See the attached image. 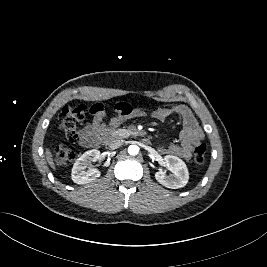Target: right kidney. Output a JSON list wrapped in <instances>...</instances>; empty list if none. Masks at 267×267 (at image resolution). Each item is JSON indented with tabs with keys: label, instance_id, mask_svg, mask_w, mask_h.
I'll use <instances>...</instances> for the list:
<instances>
[{
	"label": "right kidney",
	"instance_id": "1",
	"mask_svg": "<svg viewBox=\"0 0 267 267\" xmlns=\"http://www.w3.org/2000/svg\"><path fill=\"white\" fill-rule=\"evenodd\" d=\"M99 150L86 151L74 163L71 177L76 184H87L100 177L101 173L96 168H91L90 164L100 160Z\"/></svg>",
	"mask_w": 267,
	"mask_h": 267
}]
</instances>
